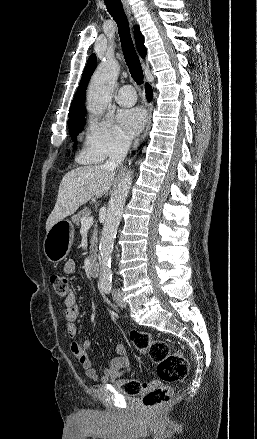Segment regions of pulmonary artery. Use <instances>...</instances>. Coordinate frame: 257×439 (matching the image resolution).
<instances>
[{"mask_svg": "<svg viewBox=\"0 0 257 439\" xmlns=\"http://www.w3.org/2000/svg\"><path fill=\"white\" fill-rule=\"evenodd\" d=\"M116 100L120 105L131 106L136 102V93L131 85L122 86L116 96Z\"/></svg>", "mask_w": 257, "mask_h": 439, "instance_id": "pulmonary-artery-1", "label": "pulmonary artery"}]
</instances>
